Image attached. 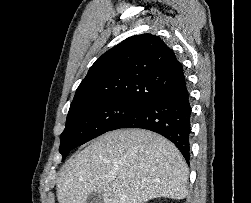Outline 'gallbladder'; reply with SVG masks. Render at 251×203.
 <instances>
[{"mask_svg":"<svg viewBox=\"0 0 251 203\" xmlns=\"http://www.w3.org/2000/svg\"><path fill=\"white\" fill-rule=\"evenodd\" d=\"M86 203H104V202H103V197L99 192H93L88 196Z\"/></svg>","mask_w":251,"mask_h":203,"instance_id":"bac80fb5","label":"gallbladder"}]
</instances>
